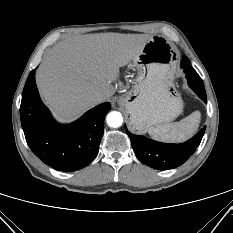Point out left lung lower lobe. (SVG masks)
<instances>
[{"mask_svg": "<svg viewBox=\"0 0 233 233\" xmlns=\"http://www.w3.org/2000/svg\"><path fill=\"white\" fill-rule=\"evenodd\" d=\"M181 68L186 73L189 86L207 102L203 81L185 56L181 60ZM205 129L206 127L202 128L193 138L182 144L160 143L130 132L128 135L135 155L141 162L154 169L167 170L176 168L189 159L199 146Z\"/></svg>", "mask_w": 233, "mask_h": 233, "instance_id": "obj_1", "label": "left lung lower lobe"}]
</instances>
